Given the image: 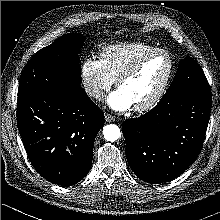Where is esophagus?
<instances>
[{
    "mask_svg": "<svg viewBox=\"0 0 220 220\" xmlns=\"http://www.w3.org/2000/svg\"><path fill=\"white\" fill-rule=\"evenodd\" d=\"M105 120L108 123L114 122L115 121V117L107 113V114H105Z\"/></svg>",
    "mask_w": 220,
    "mask_h": 220,
    "instance_id": "34e87169",
    "label": "esophagus"
}]
</instances>
